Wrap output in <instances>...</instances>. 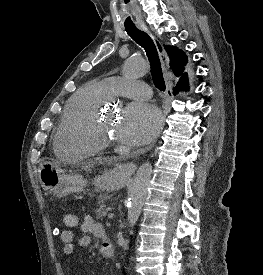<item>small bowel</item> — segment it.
Segmentation results:
<instances>
[{
    "label": "small bowel",
    "instance_id": "small-bowel-1",
    "mask_svg": "<svg viewBox=\"0 0 263 275\" xmlns=\"http://www.w3.org/2000/svg\"><path fill=\"white\" fill-rule=\"evenodd\" d=\"M80 231L81 235H77L71 229H64L60 232V238L63 242L62 258L67 259L77 248L87 247L91 243V236L100 238L103 241L100 248V252L103 255L107 240L104 227L91 216H85L80 224Z\"/></svg>",
    "mask_w": 263,
    "mask_h": 275
}]
</instances>
